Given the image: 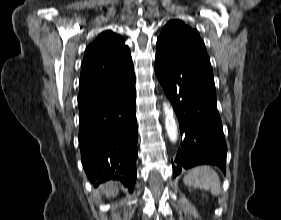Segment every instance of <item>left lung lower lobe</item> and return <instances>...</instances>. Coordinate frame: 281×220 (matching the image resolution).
Returning <instances> with one entry per match:
<instances>
[{
    "mask_svg": "<svg viewBox=\"0 0 281 220\" xmlns=\"http://www.w3.org/2000/svg\"><path fill=\"white\" fill-rule=\"evenodd\" d=\"M155 73L182 129L183 141L173 163V176L202 164L217 165L225 173L227 147L213 75L179 57H156Z\"/></svg>",
    "mask_w": 281,
    "mask_h": 220,
    "instance_id": "1",
    "label": "left lung lower lobe"
}]
</instances>
